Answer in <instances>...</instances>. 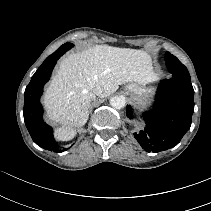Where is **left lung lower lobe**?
Segmentation results:
<instances>
[{
  "instance_id": "0a47b994",
  "label": "left lung lower lobe",
  "mask_w": 211,
  "mask_h": 211,
  "mask_svg": "<svg viewBox=\"0 0 211 211\" xmlns=\"http://www.w3.org/2000/svg\"><path fill=\"white\" fill-rule=\"evenodd\" d=\"M194 111V90L190 76L173 75L159 84L153 110L143 113L145 129L134 137L147 152H159L176 146L190 129ZM127 117L133 119L127 106Z\"/></svg>"
}]
</instances>
